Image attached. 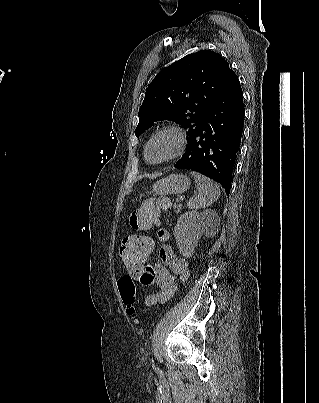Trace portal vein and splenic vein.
I'll return each instance as SVG.
<instances>
[{"mask_svg": "<svg viewBox=\"0 0 319 403\" xmlns=\"http://www.w3.org/2000/svg\"><path fill=\"white\" fill-rule=\"evenodd\" d=\"M183 200V198L182 197H180V198H177V201L179 202V201H182Z\"/></svg>", "mask_w": 319, "mask_h": 403, "instance_id": "18ae733b", "label": "portal vein and splenic vein"}]
</instances>
